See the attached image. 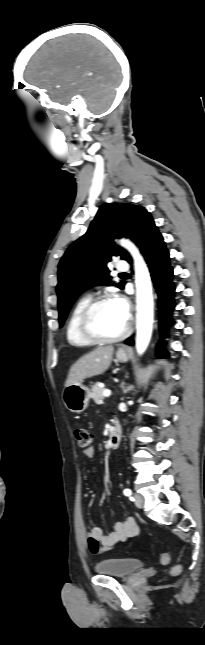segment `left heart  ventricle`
Listing matches in <instances>:
<instances>
[{
    "label": "left heart ventricle",
    "instance_id": "obj_1",
    "mask_svg": "<svg viewBox=\"0 0 205 645\" xmlns=\"http://www.w3.org/2000/svg\"><path fill=\"white\" fill-rule=\"evenodd\" d=\"M127 320L122 316L113 301L102 304L93 317L95 331L103 336H114L126 326Z\"/></svg>",
    "mask_w": 205,
    "mask_h": 645
}]
</instances>
